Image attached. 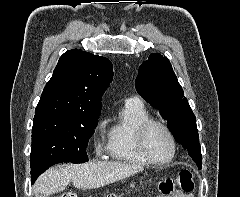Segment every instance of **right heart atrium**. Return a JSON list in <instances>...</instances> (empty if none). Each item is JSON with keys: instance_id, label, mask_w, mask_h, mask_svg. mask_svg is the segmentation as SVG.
Masks as SVG:
<instances>
[{"instance_id": "obj_1", "label": "right heart atrium", "mask_w": 240, "mask_h": 197, "mask_svg": "<svg viewBox=\"0 0 240 197\" xmlns=\"http://www.w3.org/2000/svg\"><path fill=\"white\" fill-rule=\"evenodd\" d=\"M105 127V121H100L95 127L94 131V144L97 153H101L103 151V130Z\"/></svg>"}]
</instances>
